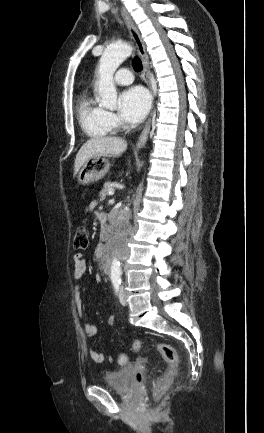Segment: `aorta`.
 <instances>
[{"label": "aorta", "instance_id": "1", "mask_svg": "<svg viewBox=\"0 0 264 433\" xmlns=\"http://www.w3.org/2000/svg\"><path fill=\"white\" fill-rule=\"evenodd\" d=\"M132 48L128 44L111 45L106 48L100 58L98 92L101 105L108 109L116 108L117 91L113 82V75L119 65L131 55ZM122 275L120 254L115 245L112 248L110 277L120 278Z\"/></svg>", "mask_w": 264, "mask_h": 433}]
</instances>
